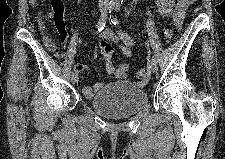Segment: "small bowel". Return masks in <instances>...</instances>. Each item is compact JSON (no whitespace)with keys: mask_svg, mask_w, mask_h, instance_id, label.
<instances>
[{"mask_svg":"<svg viewBox=\"0 0 225 159\" xmlns=\"http://www.w3.org/2000/svg\"><path fill=\"white\" fill-rule=\"evenodd\" d=\"M30 4L32 7H37L38 0H31ZM156 4L160 14L173 15L175 26L180 27L182 25V22H183L186 10L190 4V1L180 0L175 2L172 0H157ZM38 26L40 30L43 32L45 25L41 15H39L38 17ZM57 30H58V34L62 44L65 45L67 41L66 27L64 28L57 27ZM100 38H101V41L99 46L101 51L104 46L111 47V44L114 43V44H117L123 56L127 58L133 57L134 52L132 48L134 46V40L128 33L121 31L118 34H116L110 29H103L100 33ZM43 42L46 48L49 51L55 53L57 57L62 56V53L57 51V45L53 42L51 38H49L45 34H43ZM110 59H106L107 73L117 79L125 78L128 74V69H129L128 64L113 63ZM74 69L76 72H84L87 70L86 67H84L83 65L79 63L74 64ZM101 86H102L101 83H97L94 87L85 86L82 89V93L85 98H91L101 88Z\"/></svg>","mask_w":225,"mask_h":159,"instance_id":"small-bowel-1","label":"small bowel"}]
</instances>
